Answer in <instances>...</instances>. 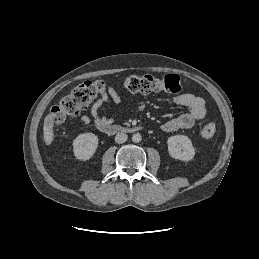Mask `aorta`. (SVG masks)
Wrapping results in <instances>:
<instances>
[{
	"label": "aorta",
	"mask_w": 259,
	"mask_h": 259,
	"mask_svg": "<svg viewBox=\"0 0 259 259\" xmlns=\"http://www.w3.org/2000/svg\"><path fill=\"white\" fill-rule=\"evenodd\" d=\"M142 140V137L139 133H136L132 136V141L134 143H139Z\"/></svg>",
	"instance_id": "1"
}]
</instances>
